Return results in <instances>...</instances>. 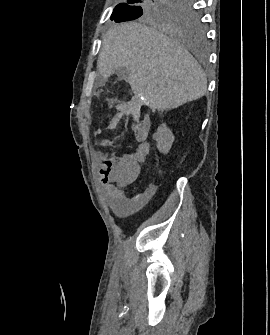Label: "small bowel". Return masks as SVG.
<instances>
[{"label": "small bowel", "mask_w": 270, "mask_h": 335, "mask_svg": "<svg viewBox=\"0 0 270 335\" xmlns=\"http://www.w3.org/2000/svg\"><path fill=\"white\" fill-rule=\"evenodd\" d=\"M150 127V118L144 117L138 121L136 127H132V134H136L137 140L145 141ZM148 150V144H134V151L145 154ZM142 154H135L134 158H116V161L113 154H96V158H93L92 166L97 169V173H101V183L106 189L109 206L120 217L132 214L139 203L140 196L129 197L122 188L139 178V169H144L147 165V158H143ZM113 178L123 179L118 181V186H114Z\"/></svg>", "instance_id": "obj_1"}]
</instances>
